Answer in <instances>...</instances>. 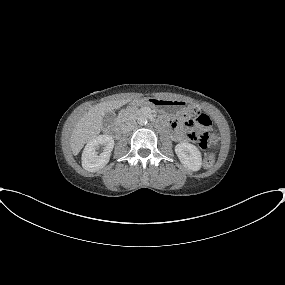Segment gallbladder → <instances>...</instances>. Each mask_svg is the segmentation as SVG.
Returning <instances> with one entry per match:
<instances>
[{
  "instance_id": "1",
  "label": "gallbladder",
  "mask_w": 285,
  "mask_h": 285,
  "mask_svg": "<svg viewBox=\"0 0 285 285\" xmlns=\"http://www.w3.org/2000/svg\"><path fill=\"white\" fill-rule=\"evenodd\" d=\"M116 118V114L113 111L107 112L103 117V124L105 126L111 125Z\"/></svg>"
}]
</instances>
